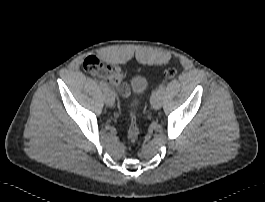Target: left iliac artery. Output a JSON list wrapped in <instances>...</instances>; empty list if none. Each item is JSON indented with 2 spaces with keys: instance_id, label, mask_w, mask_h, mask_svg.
<instances>
[{
  "instance_id": "44dca946",
  "label": "left iliac artery",
  "mask_w": 265,
  "mask_h": 202,
  "mask_svg": "<svg viewBox=\"0 0 265 202\" xmlns=\"http://www.w3.org/2000/svg\"><path fill=\"white\" fill-rule=\"evenodd\" d=\"M164 90H165V84H161L157 90L153 91L152 96H151V99H152V98L154 97V95H156V94H158V95H163Z\"/></svg>"
}]
</instances>
